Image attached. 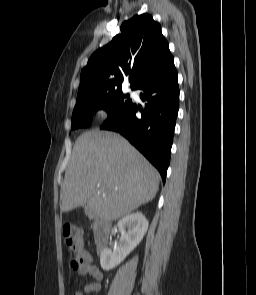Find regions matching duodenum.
I'll return each instance as SVG.
<instances>
[{
  "label": "duodenum",
  "mask_w": 256,
  "mask_h": 295,
  "mask_svg": "<svg viewBox=\"0 0 256 295\" xmlns=\"http://www.w3.org/2000/svg\"><path fill=\"white\" fill-rule=\"evenodd\" d=\"M94 219V242L98 251H102L109 242L111 225L108 220L95 216L90 212Z\"/></svg>",
  "instance_id": "410a0bca"
}]
</instances>
